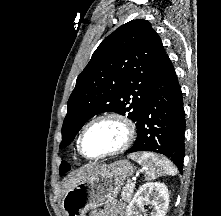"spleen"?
<instances>
[{
    "label": "spleen",
    "mask_w": 221,
    "mask_h": 216,
    "mask_svg": "<svg viewBox=\"0 0 221 216\" xmlns=\"http://www.w3.org/2000/svg\"><path fill=\"white\" fill-rule=\"evenodd\" d=\"M130 158L136 161L145 169V179L154 180L158 177L167 175H176V169L172 163L164 157L155 154L143 152L131 154Z\"/></svg>",
    "instance_id": "3e777b00"
}]
</instances>
